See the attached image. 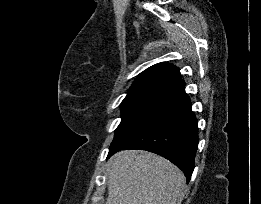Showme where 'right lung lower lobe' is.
<instances>
[{"label":"right lung lower lobe","instance_id":"1","mask_svg":"<svg viewBox=\"0 0 261 204\" xmlns=\"http://www.w3.org/2000/svg\"><path fill=\"white\" fill-rule=\"evenodd\" d=\"M197 146V120L182 86L110 148L107 159L120 150H147L174 163L189 182Z\"/></svg>","mask_w":261,"mask_h":204}]
</instances>
